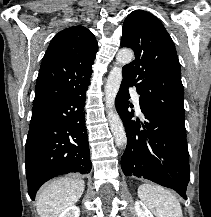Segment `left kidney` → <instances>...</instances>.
<instances>
[{"instance_id":"left-kidney-1","label":"left kidney","mask_w":211,"mask_h":217,"mask_svg":"<svg viewBox=\"0 0 211 217\" xmlns=\"http://www.w3.org/2000/svg\"><path fill=\"white\" fill-rule=\"evenodd\" d=\"M137 217H154L148 208L141 201H136L134 205Z\"/></svg>"}]
</instances>
